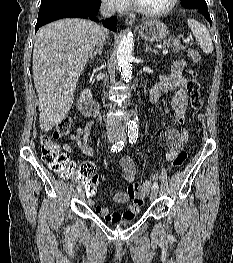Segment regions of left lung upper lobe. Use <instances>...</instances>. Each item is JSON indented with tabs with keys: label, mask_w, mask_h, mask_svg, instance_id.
<instances>
[{
	"label": "left lung upper lobe",
	"mask_w": 233,
	"mask_h": 263,
	"mask_svg": "<svg viewBox=\"0 0 233 263\" xmlns=\"http://www.w3.org/2000/svg\"><path fill=\"white\" fill-rule=\"evenodd\" d=\"M183 7L187 9H203L207 8L205 0H181Z\"/></svg>",
	"instance_id": "left-lung-upper-lobe-1"
}]
</instances>
